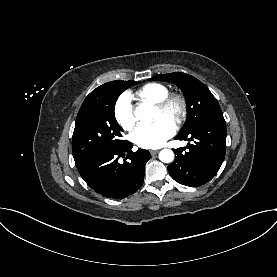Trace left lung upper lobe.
<instances>
[{
    "label": "left lung upper lobe",
    "instance_id": "1",
    "mask_svg": "<svg viewBox=\"0 0 277 277\" xmlns=\"http://www.w3.org/2000/svg\"><path fill=\"white\" fill-rule=\"evenodd\" d=\"M149 80L174 83L184 92L188 104V115L183 129L178 135L188 133L206 117L222 112L218 101L210 90L191 75L175 72L157 75Z\"/></svg>",
    "mask_w": 277,
    "mask_h": 277
}]
</instances>
